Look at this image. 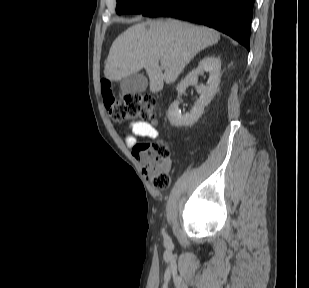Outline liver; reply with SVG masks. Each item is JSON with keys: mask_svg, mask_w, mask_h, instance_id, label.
Wrapping results in <instances>:
<instances>
[{"mask_svg": "<svg viewBox=\"0 0 309 288\" xmlns=\"http://www.w3.org/2000/svg\"><path fill=\"white\" fill-rule=\"evenodd\" d=\"M219 40L220 34L213 29L178 20L137 23L112 43L104 74L110 81H120L144 68L150 91L157 93L164 82H175L197 53Z\"/></svg>", "mask_w": 309, "mask_h": 288, "instance_id": "6515ba94", "label": "liver"}]
</instances>
